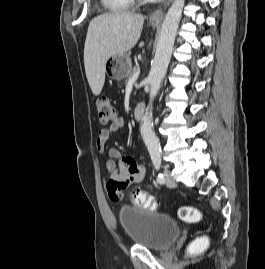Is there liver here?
I'll return each instance as SVG.
<instances>
[{
  "label": "liver",
  "mask_w": 265,
  "mask_h": 269,
  "mask_svg": "<svg viewBox=\"0 0 265 269\" xmlns=\"http://www.w3.org/2000/svg\"><path fill=\"white\" fill-rule=\"evenodd\" d=\"M143 24V15L124 11L104 13L90 21L84 46V66L95 96L104 86L106 61L113 55L131 50L140 38ZM143 45L141 42L139 47Z\"/></svg>",
  "instance_id": "obj_1"
}]
</instances>
